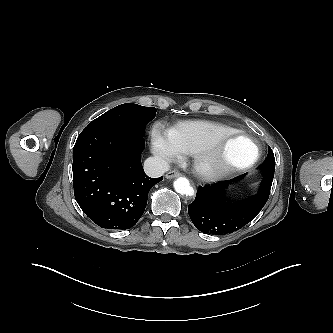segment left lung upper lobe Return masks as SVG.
Wrapping results in <instances>:
<instances>
[{"mask_svg": "<svg viewBox=\"0 0 333 333\" xmlns=\"http://www.w3.org/2000/svg\"><path fill=\"white\" fill-rule=\"evenodd\" d=\"M265 170L268 168H275V158L272 149L268 147V155L263 164L261 165Z\"/></svg>", "mask_w": 333, "mask_h": 333, "instance_id": "obj_1", "label": "left lung upper lobe"}]
</instances>
